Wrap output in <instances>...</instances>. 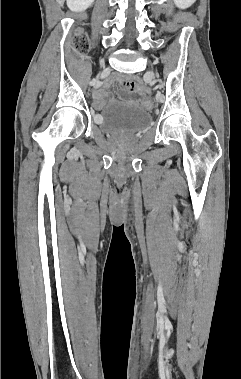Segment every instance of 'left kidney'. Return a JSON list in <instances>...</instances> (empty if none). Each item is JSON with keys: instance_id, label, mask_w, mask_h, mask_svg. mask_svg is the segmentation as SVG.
<instances>
[{"instance_id": "5707ae66", "label": "left kidney", "mask_w": 241, "mask_h": 379, "mask_svg": "<svg viewBox=\"0 0 241 379\" xmlns=\"http://www.w3.org/2000/svg\"><path fill=\"white\" fill-rule=\"evenodd\" d=\"M196 0H174L178 8L186 9L190 7Z\"/></svg>"}]
</instances>
